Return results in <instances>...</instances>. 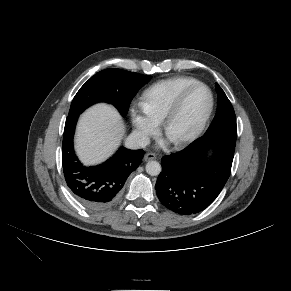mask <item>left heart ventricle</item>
I'll use <instances>...</instances> for the list:
<instances>
[{
    "label": "left heart ventricle",
    "instance_id": "1",
    "mask_svg": "<svg viewBox=\"0 0 291 291\" xmlns=\"http://www.w3.org/2000/svg\"><path fill=\"white\" fill-rule=\"evenodd\" d=\"M208 105L209 94L206 89L198 88L191 92L172 120L166 134L167 138L175 141L192 133L200 123Z\"/></svg>",
    "mask_w": 291,
    "mask_h": 291
}]
</instances>
